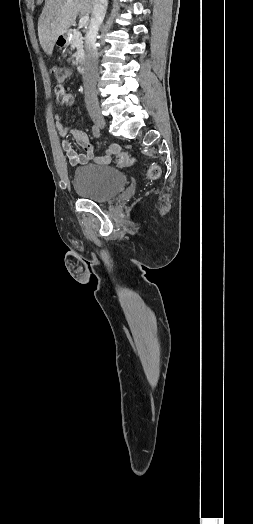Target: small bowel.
<instances>
[{
    "label": "small bowel",
    "instance_id": "obj_1",
    "mask_svg": "<svg viewBox=\"0 0 253 524\" xmlns=\"http://www.w3.org/2000/svg\"><path fill=\"white\" fill-rule=\"evenodd\" d=\"M57 101L63 106H70L74 103V96L67 93L64 88L61 90L54 89ZM58 136L62 139L61 147L65 152L69 163L72 166L85 165L93 161L97 165H108L112 156L120 152V146L116 143L111 144L100 156L93 155V145L91 144L87 133L81 129L73 128L71 130L56 116L55 122ZM71 133L76 143L84 150V153H78L72 146L71 142L66 139L68 133Z\"/></svg>",
    "mask_w": 253,
    "mask_h": 524
}]
</instances>
